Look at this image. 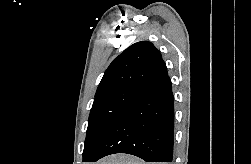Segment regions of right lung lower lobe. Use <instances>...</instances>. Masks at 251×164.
I'll list each match as a JSON object with an SVG mask.
<instances>
[{"label":"right lung lower lobe","mask_w":251,"mask_h":164,"mask_svg":"<svg viewBox=\"0 0 251 164\" xmlns=\"http://www.w3.org/2000/svg\"><path fill=\"white\" fill-rule=\"evenodd\" d=\"M173 141L174 97L167 75L141 89L84 162L114 153L132 154L146 162H172Z\"/></svg>","instance_id":"obj_1"}]
</instances>
